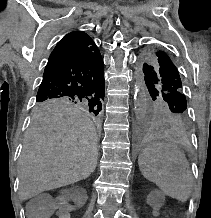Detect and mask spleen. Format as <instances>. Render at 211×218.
<instances>
[{
	"instance_id": "obj_1",
	"label": "spleen",
	"mask_w": 211,
	"mask_h": 218,
	"mask_svg": "<svg viewBox=\"0 0 211 218\" xmlns=\"http://www.w3.org/2000/svg\"><path fill=\"white\" fill-rule=\"evenodd\" d=\"M138 166L144 178L154 182L166 196L179 202L188 200L193 190V176L184 154L146 148L138 158Z\"/></svg>"
}]
</instances>
